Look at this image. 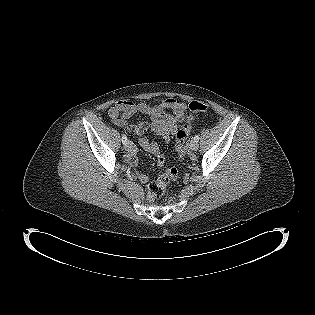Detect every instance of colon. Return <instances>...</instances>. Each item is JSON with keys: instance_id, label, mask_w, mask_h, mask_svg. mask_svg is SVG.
<instances>
[{"instance_id": "1", "label": "colon", "mask_w": 315, "mask_h": 315, "mask_svg": "<svg viewBox=\"0 0 315 315\" xmlns=\"http://www.w3.org/2000/svg\"><path fill=\"white\" fill-rule=\"evenodd\" d=\"M208 106L202 101H193L189 104V113L187 114L186 122L176 131V151L180 160H183L186 155L185 144L191 133L192 121L200 114L206 113ZM178 170L176 168H170L164 173L160 174L153 182L148 186L149 195L152 198H157L163 195L167 184L178 179Z\"/></svg>"}]
</instances>
